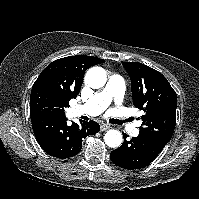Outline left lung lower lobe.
<instances>
[{
	"instance_id": "obj_1",
	"label": "left lung lower lobe",
	"mask_w": 199,
	"mask_h": 199,
	"mask_svg": "<svg viewBox=\"0 0 199 199\" xmlns=\"http://www.w3.org/2000/svg\"><path fill=\"white\" fill-rule=\"evenodd\" d=\"M125 138L124 143L111 152L110 158L115 165L127 170L141 169L149 165L165 147L160 142L142 134L133 137L130 141Z\"/></svg>"
}]
</instances>
